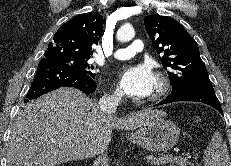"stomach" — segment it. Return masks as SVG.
<instances>
[{
  "label": "stomach",
  "mask_w": 231,
  "mask_h": 166,
  "mask_svg": "<svg viewBox=\"0 0 231 166\" xmlns=\"http://www.w3.org/2000/svg\"><path fill=\"white\" fill-rule=\"evenodd\" d=\"M159 115L144 123L128 139L144 149L154 152L168 151L177 143L180 130L173 122Z\"/></svg>",
  "instance_id": "0dacf381"
}]
</instances>
